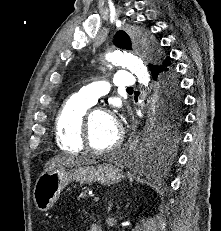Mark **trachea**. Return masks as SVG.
<instances>
[{"mask_svg": "<svg viewBox=\"0 0 221 231\" xmlns=\"http://www.w3.org/2000/svg\"><path fill=\"white\" fill-rule=\"evenodd\" d=\"M127 90H133V88H132V87H130V88H127Z\"/></svg>", "mask_w": 221, "mask_h": 231, "instance_id": "obj_1", "label": "trachea"}]
</instances>
